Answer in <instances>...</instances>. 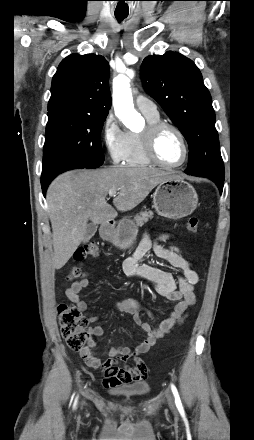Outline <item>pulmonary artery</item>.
Here are the masks:
<instances>
[{"label":"pulmonary artery","instance_id":"obj_1","mask_svg":"<svg viewBox=\"0 0 254 440\" xmlns=\"http://www.w3.org/2000/svg\"><path fill=\"white\" fill-rule=\"evenodd\" d=\"M135 104L138 110H140L143 114H148V115L158 114V109L156 104L143 95H138L136 97Z\"/></svg>","mask_w":254,"mask_h":440}]
</instances>
